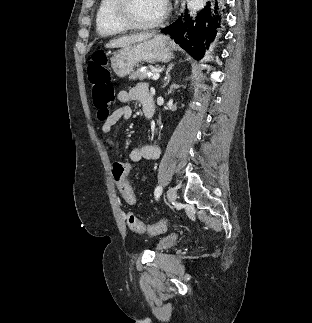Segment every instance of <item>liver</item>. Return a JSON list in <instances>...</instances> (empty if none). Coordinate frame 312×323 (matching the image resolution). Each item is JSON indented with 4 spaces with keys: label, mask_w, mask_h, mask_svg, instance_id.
<instances>
[{
    "label": "liver",
    "mask_w": 312,
    "mask_h": 323,
    "mask_svg": "<svg viewBox=\"0 0 312 323\" xmlns=\"http://www.w3.org/2000/svg\"><path fill=\"white\" fill-rule=\"evenodd\" d=\"M154 34H131V36H121V38H114L110 40L108 44H105V48H124L128 44H134V42H144L153 38Z\"/></svg>",
    "instance_id": "1"
}]
</instances>
